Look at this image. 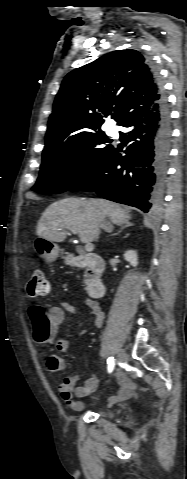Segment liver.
I'll return each mask as SVG.
<instances>
[{"label":"liver","instance_id":"liver-1","mask_svg":"<svg viewBox=\"0 0 187 479\" xmlns=\"http://www.w3.org/2000/svg\"><path fill=\"white\" fill-rule=\"evenodd\" d=\"M98 211L117 225L129 223L131 219L128 211L105 199L65 198L52 203L43 212L36 234L52 242H63L67 236L64 229L72 228L81 242L90 243L100 235ZM111 223L106 228L109 232L112 231Z\"/></svg>","mask_w":187,"mask_h":479}]
</instances>
